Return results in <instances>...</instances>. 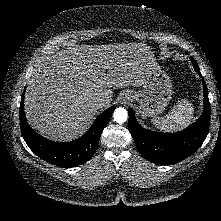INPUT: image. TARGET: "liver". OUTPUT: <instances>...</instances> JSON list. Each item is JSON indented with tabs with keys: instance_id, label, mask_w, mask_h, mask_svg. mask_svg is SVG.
I'll use <instances>...</instances> for the list:
<instances>
[{
	"instance_id": "1",
	"label": "liver",
	"mask_w": 221,
	"mask_h": 221,
	"mask_svg": "<svg viewBox=\"0 0 221 221\" xmlns=\"http://www.w3.org/2000/svg\"><path fill=\"white\" fill-rule=\"evenodd\" d=\"M158 64L144 43L81 45L48 56L32 72L25 93V115L43 136L69 141L82 135L112 89L140 87Z\"/></svg>"
}]
</instances>
